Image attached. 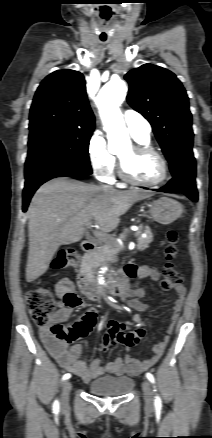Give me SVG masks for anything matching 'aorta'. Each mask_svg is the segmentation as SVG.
Segmentation results:
<instances>
[{"mask_svg": "<svg viewBox=\"0 0 212 438\" xmlns=\"http://www.w3.org/2000/svg\"><path fill=\"white\" fill-rule=\"evenodd\" d=\"M127 93V85L122 79H114L106 83L99 91L97 105L100 117L107 132L109 150L115 149L116 142H127L129 140L127 128L119 106L124 101ZM99 287L106 285L104 272L96 279Z\"/></svg>", "mask_w": 212, "mask_h": 438, "instance_id": "aorta-1", "label": "aorta"}]
</instances>
